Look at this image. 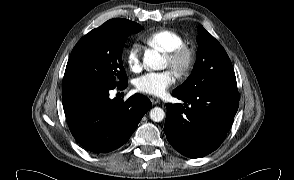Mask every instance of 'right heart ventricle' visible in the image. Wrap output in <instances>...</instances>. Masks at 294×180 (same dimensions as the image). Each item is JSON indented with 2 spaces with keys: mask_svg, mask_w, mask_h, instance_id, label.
<instances>
[{
  "mask_svg": "<svg viewBox=\"0 0 294 180\" xmlns=\"http://www.w3.org/2000/svg\"><path fill=\"white\" fill-rule=\"evenodd\" d=\"M142 40L168 53L185 45L183 37L171 29H160L142 36Z\"/></svg>",
  "mask_w": 294,
  "mask_h": 180,
  "instance_id": "right-heart-ventricle-1",
  "label": "right heart ventricle"
}]
</instances>
